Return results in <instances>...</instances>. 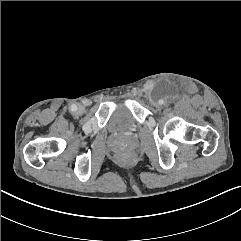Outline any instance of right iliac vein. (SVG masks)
Instances as JSON below:
<instances>
[{
  "instance_id": "right-iliac-vein-1",
  "label": "right iliac vein",
  "mask_w": 241,
  "mask_h": 241,
  "mask_svg": "<svg viewBox=\"0 0 241 241\" xmlns=\"http://www.w3.org/2000/svg\"><path fill=\"white\" fill-rule=\"evenodd\" d=\"M85 112V107L84 106H79L78 107V110H77V113L78 114H82V113H84Z\"/></svg>"
}]
</instances>
